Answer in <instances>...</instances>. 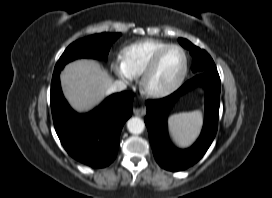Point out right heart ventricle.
<instances>
[{
    "mask_svg": "<svg viewBox=\"0 0 272 198\" xmlns=\"http://www.w3.org/2000/svg\"><path fill=\"white\" fill-rule=\"evenodd\" d=\"M168 45L170 44L154 39L135 42L123 49L121 61L133 76H140L154 56Z\"/></svg>",
    "mask_w": 272,
    "mask_h": 198,
    "instance_id": "1",
    "label": "right heart ventricle"
}]
</instances>
